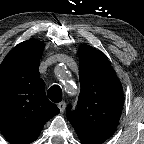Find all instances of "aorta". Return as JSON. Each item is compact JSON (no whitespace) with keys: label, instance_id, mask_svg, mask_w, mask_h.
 I'll use <instances>...</instances> for the list:
<instances>
[{"label":"aorta","instance_id":"762f6f07","mask_svg":"<svg viewBox=\"0 0 144 144\" xmlns=\"http://www.w3.org/2000/svg\"><path fill=\"white\" fill-rule=\"evenodd\" d=\"M55 73L58 75V76H62L64 73H65V68L64 67H57L55 69Z\"/></svg>","mask_w":144,"mask_h":144}]
</instances>
